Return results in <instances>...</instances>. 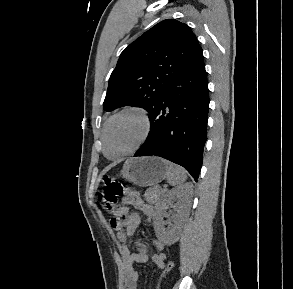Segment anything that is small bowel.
<instances>
[{
    "label": "small bowel",
    "mask_w": 293,
    "mask_h": 289,
    "mask_svg": "<svg viewBox=\"0 0 293 289\" xmlns=\"http://www.w3.org/2000/svg\"><path fill=\"white\" fill-rule=\"evenodd\" d=\"M123 205L113 212L112 218L122 220V226L117 233V247L121 254L122 268L124 274L125 289H138L139 273L134 269V264H145L151 260L157 267L164 268L166 254L164 252V243L158 238L152 239V245L156 252L150 253L148 245L141 241H135L136 251H131L128 245V239L131 238L140 224L138 213H130L129 208L136 207L140 209L150 222L155 209L152 205L145 203L136 192H127L122 199ZM124 227L123 230L121 228Z\"/></svg>",
    "instance_id": "c3829d8e"
}]
</instances>
